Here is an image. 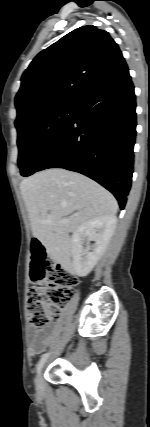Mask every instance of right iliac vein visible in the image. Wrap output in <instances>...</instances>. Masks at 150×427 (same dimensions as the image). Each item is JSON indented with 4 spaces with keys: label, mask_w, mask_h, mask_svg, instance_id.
Returning <instances> with one entry per match:
<instances>
[{
    "label": "right iliac vein",
    "mask_w": 150,
    "mask_h": 427,
    "mask_svg": "<svg viewBox=\"0 0 150 427\" xmlns=\"http://www.w3.org/2000/svg\"><path fill=\"white\" fill-rule=\"evenodd\" d=\"M36 386H37V388L39 390H41L42 387H43V380H42V377H41V373H39V375L36 378Z\"/></svg>",
    "instance_id": "1"
}]
</instances>
